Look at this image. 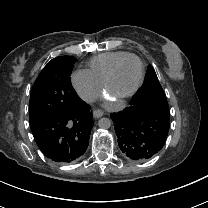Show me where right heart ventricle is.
I'll return each instance as SVG.
<instances>
[{"mask_svg": "<svg viewBox=\"0 0 208 208\" xmlns=\"http://www.w3.org/2000/svg\"><path fill=\"white\" fill-rule=\"evenodd\" d=\"M128 54L125 51H113L100 54L90 59L87 73L100 86L105 82L114 63Z\"/></svg>", "mask_w": 208, "mask_h": 208, "instance_id": "obj_1", "label": "right heart ventricle"}]
</instances>
